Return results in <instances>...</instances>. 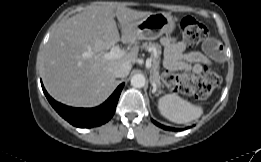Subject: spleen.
Here are the masks:
<instances>
[{
    "label": "spleen",
    "instance_id": "3e777b00",
    "mask_svg": "<svg viewBox=\"0 0 261 162\" xmlns=\"http://www.w3.org/2000/svg\"><path fill=\"white\" fill-rule=\"evenodd\" d=\"M158 109L162 116L177 124H187L198 119L201 107L182 99L176 94H167L159 98Z\"/></svg>",
    "mask_w": 261,
    "mask_h": 162
}]
</instances>
